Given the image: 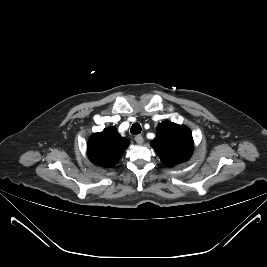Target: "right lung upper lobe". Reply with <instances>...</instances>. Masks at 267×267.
<instances>
[{
  "label": "right lung upper lobe",
  "instance_id": "obj_1",
  "mask_svg": "<svg viewBox=\"0 0 267 267\" xmlns=\"http://www.w3.org/2000/svg\"><path fill=\"white\" fill-rule=\"evenodd\" d=\"M128 145L126 138L120 137L114 127H109L92 135L88 142V156L96 165L112 167L119 161Z\"/></svg>",
  "mask_w": 267,
  "mask_h": 267
}]
</instances>
